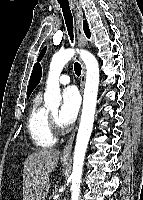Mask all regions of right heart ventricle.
Returning a JSON list of instances; mask_svg holds the SVG:
<instances>
[{
    "label": "right heart ventricle",
    "mask_w": 143,
    "mask_h": 200,
    "mask_svg": "<svg viewBox=\"0 0 143 200\" xmlns=\"http://www.w3.org/2000/svg\"><path fill=\"white\" fill-rule=\"evenodd\" d=\"M27 129L35 146L49 148L55 144L56 139L51 129L49 111L42 104L39 94L32 100L27 118Z\"/></svg>",
    "instance_id": "right-heart-ventricle-1"
}]
</instances>
